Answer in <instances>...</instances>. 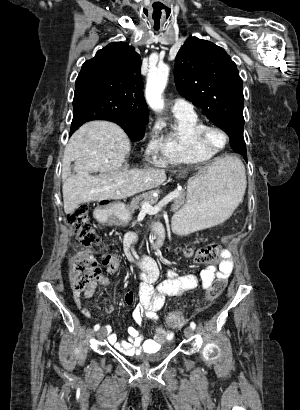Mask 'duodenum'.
Listing matches in <instances>:
<instances>
[{"label":"duodenum","instance_id":"1","mask_svg":"<svg viewBox=\"0 0 300 410\" xmlns=\"http://www.w3.org/2000/svg\"><path fill=\"white\" fill-rule=\"evenodd\" d=\"M108 218H109V216L103 212V215L100 218V221L101 222H106L108 220ZM158 247H159L158 243L153 244V248H158Z\"/></svg>","mask_w":300,"mask_h":410}]
</instances>
